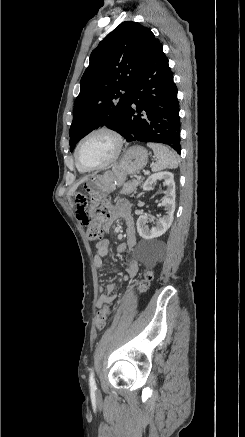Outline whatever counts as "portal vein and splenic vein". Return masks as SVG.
I'll use <instances>...</instances> for the list:
<instances>
[{"label": "portal vein and splenic vein", "instance_id": "obj_1", "mask_svg": "<svg viewBox=\"0 0 245 437\" xmlns=\"http://www.w3.org/2000/svg\"><path fill=\"white\" fill-rule=\"evenodd\" d=\"M138 179H141V176H137Z\"/></svg>", "mask_w": 245, "mask_h": 437}]
</instances>
